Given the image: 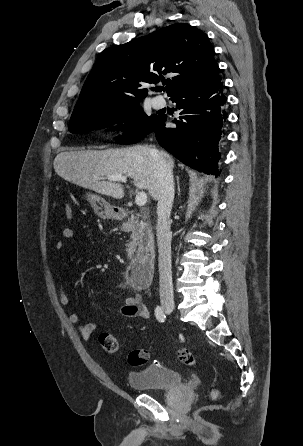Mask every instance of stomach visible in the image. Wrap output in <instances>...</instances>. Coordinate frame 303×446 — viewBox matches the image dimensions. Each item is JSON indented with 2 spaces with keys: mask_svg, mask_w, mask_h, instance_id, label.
<instances>
[{
  "mask_svg": "<svg viewBox=\"0 0 303 446\" xmlns=\"http://www.w3.org/2000/svg\"><path fill=\"white\" fill-rule=\"evenodd\" d=\"M83 197L91 204L94 212L101 218H115L117 212L104 198L91 192H85Z\"/></svg>",
  "mask_w": 303,
  "mask_h": 446,
  "instance_id": "stomach-1",
  "label": "stomach"
}]
</instances>
